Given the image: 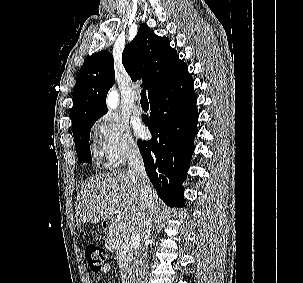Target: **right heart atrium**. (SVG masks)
<instances>
[{
  "mask_svg": "<svg viewBox=\"0 0 303 283\" xmlns=\"http://www.w3.org/2000/svg\"><path fill=\"white\" fill-rule=\"evenodd\" d=\"M100 154L108 164L119 166L138 153V144L128 126L115 115H104L93 125Z\"/></svg>",
  "mask_w": 303,
  "mask_h": 283,
  "instance_id": "right-heart-atrium-1",
  "label": "right heart atrium"
}]
</instances>
